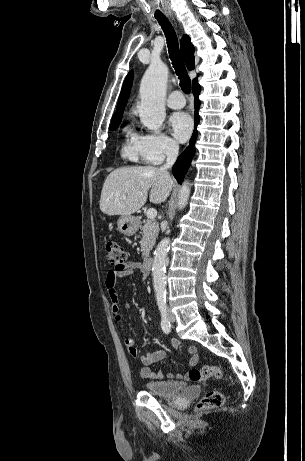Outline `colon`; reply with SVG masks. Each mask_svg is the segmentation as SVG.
Wrapping results in <instances>:
<instances>
[{
	"instance_id": "colon-1",
	"label": "colon",
	"mask_w": 305,
	"mask_h": 461,
	"mask_svg": "<svg viewBox=\"0 0 305 461\" xmlns=\"http://www.w3.org/2000/svg\"><path fill=\"white\" fill-rule=\"evenodd\" d=\"M106 256L109 264L116 270H121L127 263L126 250L115 241H108L105 245ZM222 372L216 366H202L201 368L191 369L188 373V379L193 382L203 381L208 378H221ZM225 397L221 391H208L198 402L197 410H209L219 408L224 404Z\"/></svg>"
}]
</instances>
